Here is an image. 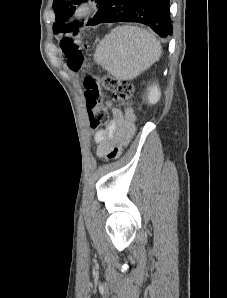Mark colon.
Returning <instances> with one entry per match:
<instances>
[{
	"label": "colon",
	"mask_w": 227,
	"mask_h": 298,
	"mask_svg": "<svg viewBox=\"0 0 227 298\" xmlns=\"http://www.w3.org/2000/svg\"><path fill=\"white\" fill-rule=\"evenodd\" d=\"M61 47L69 69L73 72H79L84 64L83 52L88 49V45H80L73 39L66 38L62 41ZM84 85L87 89L85 98L89 109V122L92 128L106 125L110 121L107 109L102 106L103 95L101 88L109 91L115 99L121 102H130L134 92V87L131 83L111 75H103L100 79H97L90 73H87Z\"/></svg>",
	"instance_id": "5ec220e1"
}]
</instances>
